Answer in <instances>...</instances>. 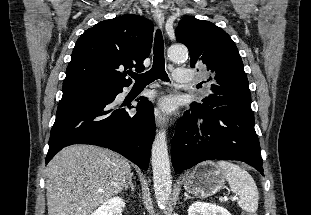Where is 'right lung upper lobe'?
Masks as SVG:
<instances>
[{"mask_svg": "<svg viewBox=\"0 0 311 215\" xmlns=\"http://www.w3.org/2000/svg\"><path fill=\"white\" fill-rule=\"evenodd\" d=\"M153 30L150 20L128 14L89 28L75 44L63 86L78 83L129 86L131 79H126L125 70H144Z\"/></svg>", "mask_w": 311, "mask_h": 215, "instance_id": "cb5924a9", "label": "right lung upper lobe"}]
</instances>
